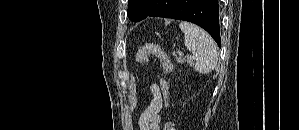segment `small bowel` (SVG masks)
<instances>
[{
    "label": "small bowel",
    "instance_id": "obj_1",
    "mask_svg": "<svg viewBox=\"0 0 299 130\" xmlns=\"http://www.w3.org/2000/svg\"><path fill=\"white\" fill-rule=\"evenodd\" d=\"M163 107V96L157 84L150 86L148 104L138 120L139 130H160V111Z\"/></svg>",
    "mask_w": 299,
    "mask_h": 130
}]
</instances>
